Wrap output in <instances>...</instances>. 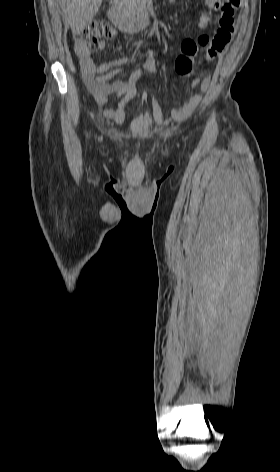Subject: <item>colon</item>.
Masks as SVG:
<instances>
[{
	"label": "colon",
	"mask_w": 280,
	"mask_h": 472,
	"mask_svg": "<svg viewBox=\"0 0 280 472\" xmlns=\"http://www.w3.org/2000/svg\"><path fill=\"white\" fill-rule=\"evenodd\" d=\"M215 8L221 9L219 24L229 25L239 8L240 0H212ZM115 30L108 23L94 21L87 25L81 32L75 35V41L82 43L89 48L98 47L101 38H111L115 35ZM176 71L181 76H188L193 71V62L188 59H178Z\"/></svg>",
	"instance_id": "1"
}]
</instances>
